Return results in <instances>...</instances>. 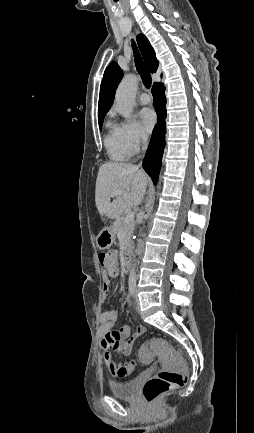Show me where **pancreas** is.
<instances>
[{"mask_svg":"<svg viewBox=\"0 0 254 433\" xmlns=\"http://www.w3.org/2000/svg\"><path fill=\"white\" fill-rule=\"evenodd\" d=\"M125 214H122L116 219V222L114 224V231L115 233L119 234L122 232V234L125 236L127 241H130L134 228H135V221L132 220L130 222L125 221Z\"/></svg>","mask_w":254,"mask_h":433,"instance_id":"cf45deb5","label":"pancreas"}]
</instances>
